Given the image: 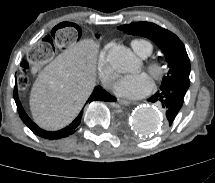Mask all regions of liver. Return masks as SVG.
I'll list each match as a JSON object with an SVG mask.
<instances>
[{
    "label": "liver",
    "mask_w": 215,
    "mask_h": 183,
    "mask_svg": "<svg viewBox=\"0 0 215 183\" xmlns=\"http://www.w3.org/2000/svg\"><path fill=\"white\" fill-rule=\"evenodd\" d=\"M97 53L93 40L79 41L38 74L29 103L39 127L59 130L75 119L96 84Z\"/></svg>",
    "instance_id": "obj_1"
}]
</instances>
